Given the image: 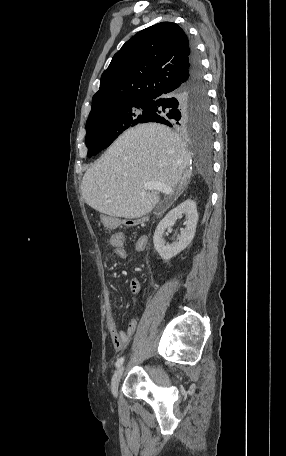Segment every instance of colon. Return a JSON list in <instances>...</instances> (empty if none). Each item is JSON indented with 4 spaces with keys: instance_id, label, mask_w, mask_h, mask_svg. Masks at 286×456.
Segmentation results:
<instances>
[{
    "instance_id": "colon-1",
    "label": "colon",
    "mask_w": 286,
    "mask_h": 456,
    "mask_svg": "<svg viewBox=\"0 0 286 456\" xmlns=\"http://www.w3.org/2000/svg\"><path fill=\"white\" fill-rule=\"evenodd\" d=\"M111 241H112V242H116V241H117V238L114 237V236H111Z\"/></svg>"
}]
</instances>
